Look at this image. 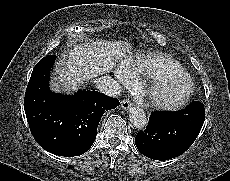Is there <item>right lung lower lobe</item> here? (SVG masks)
I'll list each match as a JSON object with an SVG mask.
<instances>
[{
	"instance_id": "obj_1",
	"label": "right lung lower lobe",
	"mask_w": 230,
	"mask_h": 181,
	"mask_svg": "<svg viewBox=\"0 0 230 181\" xmlns=\"http://www.w3.org/2000/svg\"><path fill=\"white\" fill-rule=\"evenodd\" d=\"M55 59V55L46 56L34 67L24 109L31 134L43 149L59 156H79L94 143L105 110L116 108L119 101L97 91L79 90L74 96L51 92L48 82Z\"/></svg>"
}]
</instances>
